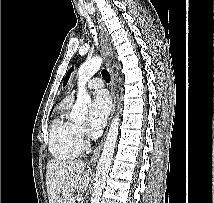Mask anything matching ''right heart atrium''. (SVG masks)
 I'll list each match as a JSON object with an SVG mask.
<instances>
[{
  "label": "right heart atrium",
  "instance_id": "d8ad5b80",
  "mask_svg": "<svg viewBox=\"0 0 214 203\" xmlns=\"http://www.w3.org/2000/svg\"><path fill=\"white\" fill-rule=\"evenodd\" d=\"M77 131H78V134L79 136L83 139V138H86L88 136V130L87 128L85 127V125L83 124H79L77 125Z\"/></svg>",
  "mask_w": 214,
  "mask_h": 203
}]
</instances>
